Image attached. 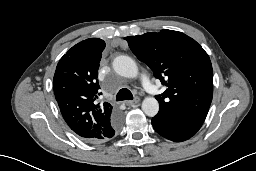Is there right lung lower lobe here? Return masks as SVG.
I'll return each mask as SVG.
<instances>
[{
  "instance_id": "obj_1",
  "label": "right lung lower lobe",
  "mask_w": 256,
  "mask_h": 171,
  "mask_svg": "<svg viewBox=\"0 0 256 171\" xmlns=\"http://www.w3.org/2000/svg\"><path fill=\"white\" fill-rule=\"evenodd\" d=\"M120 123H121V117H120L119 115H116V116L113 118V120L111 121V125H110L111 130H112V136H111V137L114 136L115 130L119 129ZM111 137H110V138H111Z\"/></svg>"
}]
</instances>
